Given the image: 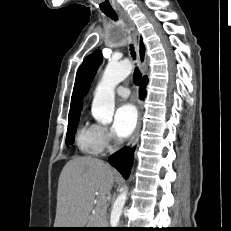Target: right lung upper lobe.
<instances>
[{"label": "right lung upper lobe", "instance_id": "1", "mask_svg": "<svg viewBox=\"0 0 231 231\" xmlns=\"http://www.w3.org/2000/svg\"><path fill=\"white\" fill-rule=\"evenodd\" d=\"M144 52H145V48H144L143 43L141 42V44H140L141 60H143V58H144ZM86 63H87V59H85V61L82 63V65L80 66V68L77 71L68 118L76 116V115H80V111L82 108V101H81V99H82V84H83V79H84V70L86 67Z\"/></svg>", "mask_w": 231, "mask_h": 231}]
</instances>
